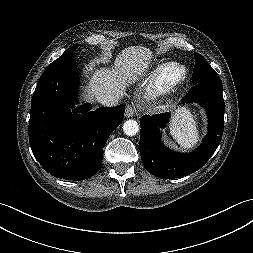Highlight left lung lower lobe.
I'll list each match as a JSON object with an SVG mask.
<instances>
[{"instance_id": "left-lung-lower-lobe-1", "label": "left lung lower lobe", "mask_w": 253, "mask_h": 253, "mask_svg": "<svg viewBox=\"0 0 253 253\" xmlns=\"http://www.w3.org/2000/svg\"><path fill=\"white\" fill-rule=\"evenodd\" d=\"M222 86L198 83L185 96L182 103L201 104L208 116V135L202 144L190 153H176L162 144L160 129L169 121L170 114L144 115L140 119V154L144 167L152 175L173 179L194 173L209 160L223 135L225 103Z\"/></svg>"}]
</instances>
